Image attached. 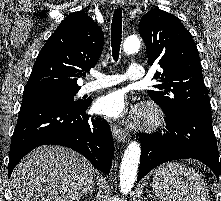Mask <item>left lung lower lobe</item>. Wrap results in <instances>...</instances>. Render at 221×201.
I'll use <instances>...</instances> for the list:
<instances>
[{"instance_id":"left-lung-lower-lobe-1","label":"left lung lower lobe","mask_w":221,"mask_h":201,"mask_svg":"<svg viewBox=\"0 0 221 201\" xmlns=\"http://www.w3.org/2000/svg\"><path fill=\"white\" fill-rule=\"evenodd\" d=\"M165 122L167 131L163 135L156 133L140 137L142 151L137 181L156 166L183 158L203 162L219 180L221 163L212 129L211 111L192 110L176 119L166 116Z\"/></svg>"}]
</instances>
